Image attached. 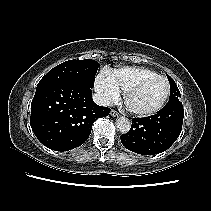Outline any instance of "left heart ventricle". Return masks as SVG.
Masks as SVG:
<instances>
[{"instance_id": "1", "label": "left heart ventricle", "mask_w": 211, "mask_h": 211, "mask_svg": "<svg viewBox=\"0 0 211 211\" xmlns=\"http://www.w3.org/2000/svg\"><path fill=\"white\" fill-rule=\"evenodd\" d=\"M166 83L162 79H155L133 94L130 103L134 108L146 110L157 105L165 95Z\"/></svg>"}]
</instances>
